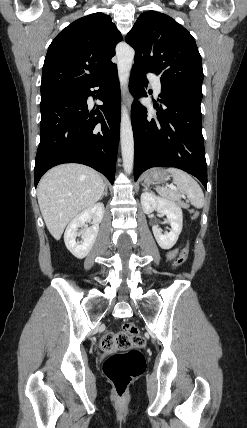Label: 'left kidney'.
<instances>
[{"instance_id": "left-kidney-1", "label": "left kidney", "mask_w": 247, "mask_h": 428, "mask_svg": "<svg viewBox=\"0 0 247 428\" xmlns=\"http://www.w3.org/2000/svg\"><path fill=\"white\" fill-rule=\"evenodd\" d=\"M141 205L146 214L156 210L161 216L167 217V223L170 224L171 230L162 234L161 229L154 225L153 234L158 245L165 250L171 249L178 240L183 226L182 209L166 198L156 196L153 192H143L141 194Z\"/></svg>"}]
</instances>
